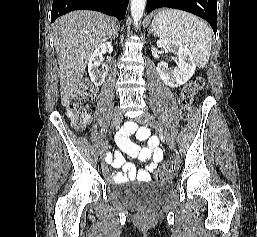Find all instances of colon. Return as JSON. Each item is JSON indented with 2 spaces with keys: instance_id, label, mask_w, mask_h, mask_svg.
I'll return each instance as SVG.
<instances>
[{
  "instance_id": "5ec220e1",
  "label": "colon",
  "mask_w": 257,
  "mask_h": 237,
  "mask_svg": "<svg viewBox=\"0 0 257 237\" xmlns=\"http://www.w3.org/2000/svg\"><path fill=\"white\" fill-rule=\"evenodd\" d=\"M205 85V80L201 76H196L192 78L184 87L182 95L179 99V105L181 108L182 117L188 119L191 117L194 111V98L200 93ZM95 97V91L89 83H83L74 100L67 107V115L72 121V124L75 129H83L89 121V109L88 102L93 100ZM175 162L170 160L165 163L154 174L155 179L157 180H166L169 179L174 170Z\"/></svg>"
}]
</instances>
